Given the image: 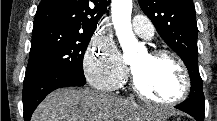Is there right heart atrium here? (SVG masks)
<instances>
[{"label":"right heart atrium","mask_w":217,"mask_h":121,"mask_svg":"<svg viewBox=\"0 0 217 121\" xmlns=\"http://www.w3.org/2000/svg\"><path fill=\"white\" fill-rule=\"evenodd\" d=\"M83 67L89 83L102 91H115L128 77V69L108 36L97 35L89 44Z\"/></svg>","instance_id":"1"}]
</instances>
